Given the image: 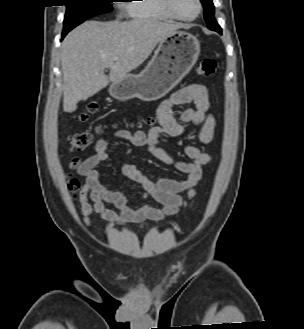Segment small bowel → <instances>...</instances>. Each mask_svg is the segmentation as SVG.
I'll return each mask as SVG.
<instances>
[{
  "label": "small bowel",
  "instance_id": "obj_1",
  "mask_svg": "<svg viewBox=\"0 0 304 329\" xmlns=\"http://www.w3.org/2000/svg\"><path fill=\"white\" fill-rule=\"evenodd\" d=\"M189 102L194 103V108L186 109L180 118L176 119L173 116V107ZM210 108L211 97L204 85L186 86L174 92L159 105L156 111L158 126L149 131L136 132L118 129L113 137H100L94 146V154L86 160L73 158L71 168L86 179L78 195L84 223L89 226L91 224L90 215L95 212L109 225L139 223L144 226L147 221H162L185 206L187 201L195 196V187L202 178L204 167L210 162V156L195 145L188 144L184 148L188 160L173 159L158 146L159 137L161 135L180 137L186 132V124L189 123L197 128L196 136L201 143H210L216 126L215 118L209 112ZM126 123V120H119L112 125L117 127ZM113 138L136 146L147 147L164 164L186 176L183 180L173 178L152 180L146 172L132 164L123 166V176L141 187L142 198H152L160 203L162 208L145 204L134 209L130 206V199L123 190H110L106 186L98 166L110 160L108 147ZM183 191L187 192L186 198L181 196ZM105 202L113 204L119 213L107 209L104 205Z\"/></svg>",
  "mask_w": 304,
  "mask_h": 329
}]
</instances>
